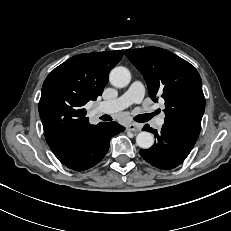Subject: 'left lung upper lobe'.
Wrapping results in <instances>:
<instances>
[{
	"label": "left lung upper lobe",
	"instance_id": "1",
	"mask_svg": "<svg viewBox=\"0 0 231 231\" xmlns=\"http://www.w3.org/2000/svg\"><path fill=\"white\" fill-rule=\"evenodd\" d=\"M125 54L142 73L151 99L162 94L164 124L197 139L205 110L202 81L197 70L179 56L158 47L129 49Z\"/></svg>",
	"mask_w": 231,
	"mask_h": 231
}]
</instances>
